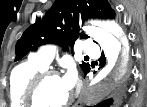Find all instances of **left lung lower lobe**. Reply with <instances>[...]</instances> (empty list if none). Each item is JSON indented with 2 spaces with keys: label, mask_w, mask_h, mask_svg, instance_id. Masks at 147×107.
<instances>
[{
  "label": "left lung lower lobe",
  "mask_w": 147,
  "mask_h": 107,
  "mask_svg": "<svg viewBox=\"0 0 147 107\" xmlns=\"http://www.w3.org/2000/svg\"><path fill=\"white\" fill-rule=\"evenodd\" d=\"M100 61V66L103 67L105 65V56L102 54L101 58L99 59ZM88 72H90V68L89 70L84 73V74H87ZM125 93V89L124 87H121L119 90H118V95L116 97V100L117 101H120L121 100V97L124 95ZM113 102L112 99H108V100H105L97 105H95L94 107H110L111 103Z\"/></svg>",
  "instance_id": "left-lung-lower-lobe-1"
}]
</instances>
